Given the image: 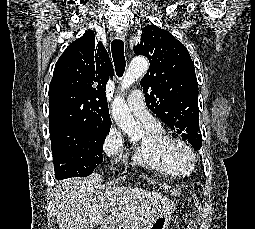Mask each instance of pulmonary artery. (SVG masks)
Here are the masks:
<instances>
[{
    "label": "pulmonary artery",
    "instance_id": "pulmonary-artery-1",
    "mask_svg": "<svg viewBox=\"0 0 255 229\" xmlns=\"http://www.w3.org/2000/svg\"><path fill=\"white\" fill-rule=\"evenodd\" d=\"M127 104L138 122L147 127H158L160 123L156 121L147 111L144 96L140 90H133L127 98Z\"/></svg>",
    "mask_w": 255,
    "mask_h": 229
}]
</instances>
